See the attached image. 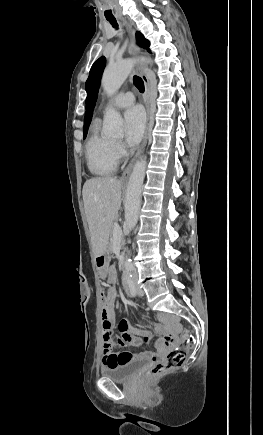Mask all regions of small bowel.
I'll list each match as a JSON object with an SVG mask.
<instances>
[{
    "label": "small bowel",
    "mask_w": 263,
    "mask_h": 435,
    "mask_svg": "<svg viewBox=\"0 0 263 435\" xmlns=\"http://www.w3.org/2000/svg\"><path fill=\"white\" fill-rule=\"evenodd\" d=\"M117 277V272L115 268H110L107 271V281L112 284L115 282ZM117 299V292L113 287H109L107 294L102 302L101 307V316H102V330L104 328H111L112 330L115 327L116 316H115V303ZM160 320L163 323L177 326L178 321L175 317L170 315H160ZM161 329L160 326L157 327ZM119 337L118 344L121 346L131 345L135 347L142 346L143 343H147L151 339V333L147 330H144L140 333V335H136L130 329V321L128 318H123L118 324ZM103 335H102V343H103ZM176 343V338L174 336H162L160 341L157 343V349L159 351L172 350L174 348V344ZM116 343L114 341V348L112 350H104L102 362L106 366H116L121 365L123 363L132 361L138 358H144L151 356V353L148 352H131V351H123V352H115Z\"/></svg>",
    "instance_id": "1"
}]
</instances>
